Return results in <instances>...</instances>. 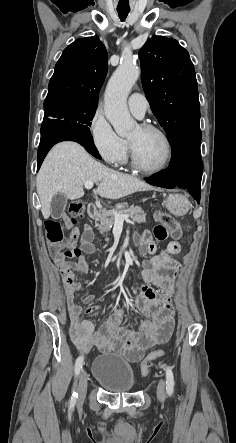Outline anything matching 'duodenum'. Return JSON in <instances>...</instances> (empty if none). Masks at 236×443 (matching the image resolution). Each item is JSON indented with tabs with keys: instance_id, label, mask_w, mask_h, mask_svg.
Segmentation results:
<instances>
[{
	"instance_id": "duodenum-1",
	"label": "duodenum",
	"mask_w": 236,
	"mask_h": 443,
	"mask_svg": "<svg viewBox=\"0 0 236 443\" xmlns=\"http://www.w3.org/2000/svg\"><path fill=\"white\" fill-rule=\"evenodd\" d=\"M87 211H88V216L90 218L96 217L98 215V213H99L97 205L94 202H92V201L88 203ZM126 262L127 261L125 259L121 260V264H123V265L126 264Z\"/></svg>"
}]
</instances>
